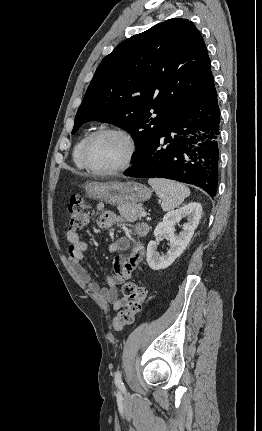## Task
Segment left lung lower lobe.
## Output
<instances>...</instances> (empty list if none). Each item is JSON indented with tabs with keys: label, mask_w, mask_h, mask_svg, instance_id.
Masks as SVG:
<instances>
[{
	"label": "left lung lower lobe",
	"mask_w": 262,
	"mask_h": 431,
	"mask_svg": "<svg viewBox=\"0 0 262 431\" xmlns=\"http://www.w3.org/2000/svg\"><path fill=\"white\" fill-rule=\"evenodd\" d=\"M220 109L214 83L185 107L152 146L124 172L193 184L215 196L218 183Z\"/></svg>",
	"instance_id": "1"
}]
</instances>
